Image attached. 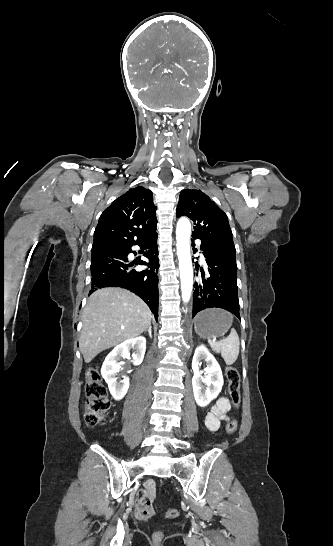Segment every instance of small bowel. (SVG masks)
<instances>
[{
	"instance_id": "small-bowel-1",
	"label": "small bowel",
	"mask_w": 333,
	"mask_h": 546,
	"mask_svg": "<svg viewBox=\"0 0 333 546\" xmlns=\"http://www.w3.org/2000/svg\"><path fill=\"white\" fill-rule=\"evenodd\" d=\"M231 409L229 401L221 397L205 416V426L211 432H216L220 428L221 421L229 419L228 412ZM156 495L155 482L148 480L143 489L138 493L135 507V515L139 519H147L154 513L153 500Z\"/></svg>"
}]
</instances>
